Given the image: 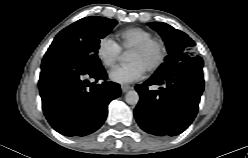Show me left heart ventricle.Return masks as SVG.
Listing matches in <instances>:
<instances>
[{
	"mask_svg": "<svg viewBox=\"0 0 248 158\" xmlns=\"http://www.w3.org/2000/svg\"><path fill=\"white\" fill-rule=\"evenodd\" d=\"M158 56V51L152 47L146 51L131 50L128 55V62H139L146 70L153 65Z\"/></svg>",
	"mask_w": 248,
	"mask_h": 158,
	"instance_id": "b2bd125f",
	"label": "left heart ventricle"
}]
</instances>
